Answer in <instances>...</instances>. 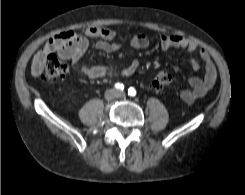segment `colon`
Here are the masks:
<instances>
[{"label": "colon", "instance_id": "1", "mask_svg": "<svg viewBox=\"0 0 245 195\" xmlns=\"http://www.w3.org/2000/svg\"><path fill=\"white\" fill-rule=\"evenodd\" d=\"M69 72L66 62L59 59L54 53L49 54L46 59V67L43 77L47 81L63 79ZM172 81V76L167 70H160L152 77L151 86L155 90H162Z\"/></svg>", "mask_w": 245, "mask_h": 195}]
</instances>
